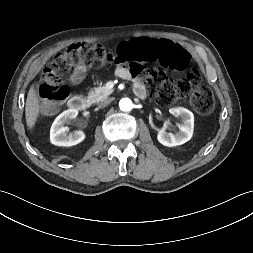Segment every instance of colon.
<instances>
[{"mask_svg": "<svg viewBox=\"0 0 253 253\" xmlns=\"http://www.w3.org/2000/svg\"><path fill=\"white\" fill-rule=\"evenodd\" d=\"M138 63L182 71L189 65L190 55L181 44L170 42L164 37L127 40L116 50L101 44H73L64 52L55 55L42 72L39 83L42 111L51 113L68 98L69 89L63 78L73 67L80 65L94 68L110 65L126 67L134 77L144 80L151 94L162 105H170L188 97L197 112L207 114L213 110V94L201 85L198 71L193 70L183 77L172 79L162 71L144 69Z\"/></svg>", "mask_w": 253, "mask_h": 253, "instance_id": "colon-1", "label": "colon"}]
</instances>
